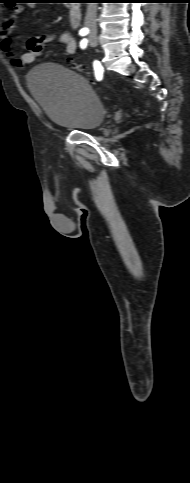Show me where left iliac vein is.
I'll return each instance as SVG.
<instances>
[{
  "instance_id": "obj_1",
  "label": "left iliac vein",
  "mask_w": 190,
  "mask_h": 483,
  "mask_svg": "<svg viewBox=\"0 0 190 483\" xmlns=\"http://www.w3.org/2000/svg\"><path fill=\"white\" fill-rule=\"evenodd\" d=\"M89 44L92 46V47H95L97 46V36L95 34H91L89 36Z\"/></svg>"
}]
</instances>
